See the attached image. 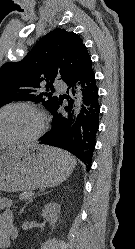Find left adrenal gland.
<instances>
[{"label": "left adrenal gland", "instance_id": "1", "mask_svg": "<svg viewBox=\"0 0 135 249\" xmlns=\"http://www.w3.org/2000/svg\"><path fill=\"white\" fill-rule=\"evenodd\" d=\"M32 201H33V199H30V200L23 206V208H22L21 211H20V215L23 213V211H24L26 205L29 204V203L32 202Z\"/></svg>", "mask_w": 135, "mask_h": 249}]
</instances>
